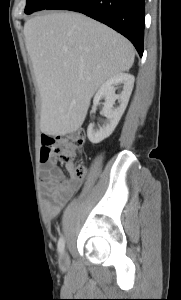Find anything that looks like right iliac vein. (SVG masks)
I'll use <instances>...</instances> for the list:
<instances>
[{
  "instance_id": "obj_1",
  "label": "right iliac vein",
  "mask_w": 181,
  "mask_h": 300,
  "mask_svg": "<svg viewBox=\"0 0 181 300\" xmlns=\"http://www.w3.org/2000/svg\"><path fill=\"white\" fill-rule=\"evenodd\" d=\"M59 265L62 269L66 270L70 266V260L66 252H63L59 258Z\"/></svg>"
}]
</instances>
